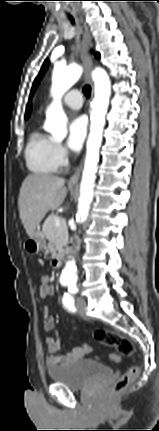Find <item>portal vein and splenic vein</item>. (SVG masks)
<instances>
[{
  "instance_id": "18ae733b",
  "label": "portal vein and splenic vein",
  "mask_w": 159,
  "mask_h": 431,
  "mask_svg": "<svg viewBox=\"0 0 159 431\" xmlns=\"http://www.w3.org/2000/svg\"><path fill=\"white\" fill-rule=\"evenodd\" d=\"M61 224V218L60 217H56L55 218V226H59Z\"/></svg>"
}]
</instances>
